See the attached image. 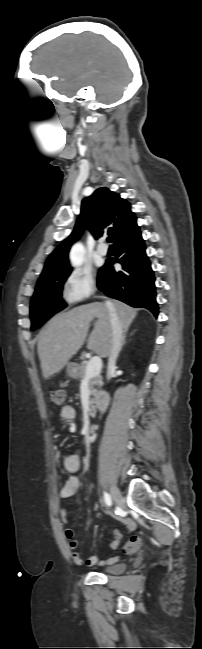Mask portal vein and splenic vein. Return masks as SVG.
Instances as JSON below:
<instances>
[{"label": "portal vein and splenic vein", "mask_w": 202, "mask_h": 649, "mask_svg": "<svg viewBox=\"0 0 202 649\" xmlns=\"http://www.w3.org/2000/svg\"><path fill=\"white\" fill-rule=\"evenodd\" d=\"M102 369V360L99 356L91 358L86 366L85 376L87 379L98 375Z\"/></svg>", "instance_id": "18ae733b"}]
</instances>
